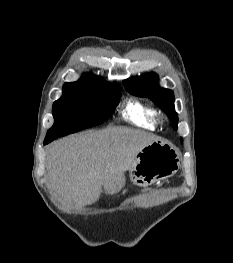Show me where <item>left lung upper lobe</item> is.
I'll return each instance as SVG.
<instances>
[{
  "label": "left lung upper lobe",
  "mask_w": 233,
  "mask_h": 263,
  "mask_svg": "<svg viewBox=\"0 0 233 263\" xmlns=\"http://www.w3.org/2000/svg\"><path fill=\"white\" fill-rule=\"evenodd\" d=\"M127 91L140 97H149L157 106L167 113L175 130H177L178 115L174 109V95L169 89L158 85L155 73H146L123 81Z\"/></svg>",
  "instance_id": "1"
}]
</instances>
